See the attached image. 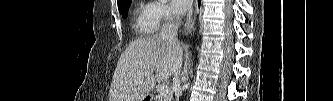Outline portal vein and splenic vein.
I'll return each instance as SVG.
<instances>
[{
	"mask_svg": "<svg viewBox=\"0 0 333 101\" xmlns=\"http://www.w3.org/2000/svg\"><path fill=\"white\" fill-rule=\"evenodd\" d=\"M160 93H161L162 95H168V94L170 93V89H169V87H168V86H163V87H161V89H160Z\"/></svg>",
	"mask_w": 333,
	"mask_h": 101,
	"instance_id": "obj_1",
	"label": "portal vein and splenic vein"
}]
</instances>
